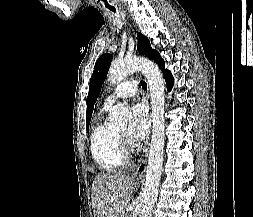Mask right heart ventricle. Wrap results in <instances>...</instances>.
Here are the masks:
<instances>
[{
  "label": "right heart ventricle",
  "instance_id": "e07e8e85",
  "mask_svg": "<svg viewBox=\"0 0 253 217\" xmlns=\"http://www.w3.org/2000/svg\"><path fill=\"white\" fill-rule=\"evenodd\" d=\"M107 109L104 107L102 112ZM90 149L95 162L106 172H117L128 163L127 156L120 148L117 132L108 127L103 118L92 130Z\"/></svg>",
  "mask_w": 253,
  "mask_h": 217
}]
</instances>
